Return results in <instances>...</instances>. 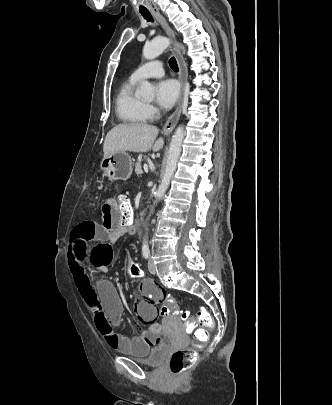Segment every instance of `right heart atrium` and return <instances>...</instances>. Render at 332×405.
<instances>
[{
	"instance_id": "1",
	"label": "right heart atrium",
	"mask_w": 332,
	"mask_h": 405,
	"mask_svg": "<svg viewBox=\"0 0 332 405\" xmlns=\"http://www.w3.org/2000/svg\"><path fill=\"white\" fill-rule=\"evenodd\" d=\"M147 112L149 116H153L156 113V109L151 105H147Z\"/></svg>"
}]
</instances>
